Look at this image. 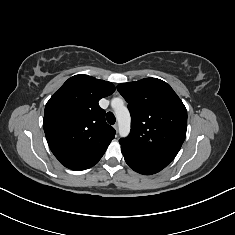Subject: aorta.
<instances>
[{"label":"aorta","mask_w":235,"mask_h":235,"mask_svg":"<svg viewBox=\"0 0 235 235\" xmlns=\"http://www.w3.org/2000/svg\"><path fill=\"white\" fill-rule=\"evenodd\" d=\"M111 106L114 109L115 117L119 125V134L121 137L128 136L130 132L131 116L128 108L120 98H113Z\"/></svg>","instance_id":"1"}]
</instances>
